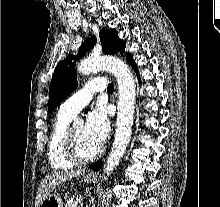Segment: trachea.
Wrapping results in <instances>:
<instances>
[{
  "instance_id": "1",
  "label": "trachea",
  "mask_w": 220,
  "mask_h": 207,
  "mask_svg": "<svg viewBox=\"0 0 220 207\" xmlns=\"http://www.w3.org/2000/svg\"><path fill=\"white\" fill-rule=\"evenodd\" d=\"M107 91H108V92H113V91H114V85H113L112 83H110V84L108 85Z\"/></svg>"
}]
</instances>
